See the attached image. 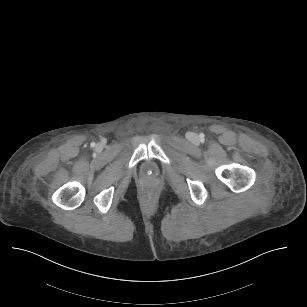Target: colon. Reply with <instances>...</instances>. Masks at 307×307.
<instances>
[{
	"label": "colon",
	"instance_id": "5ec220e1",
	"mask_svg": "<svg viewBox=\"0 0 307 307\" xmlns=\"http://www.w3.org/2000/svg\"><path fill=\"white\" fill-rule=\"evenodd\" d=\"M142 197L146 201H153L157 197V190L153 186H146L142 190Z\"/></svg>",
	"mask_w": 307,
	"mask_h": 307
}]
</instances>
